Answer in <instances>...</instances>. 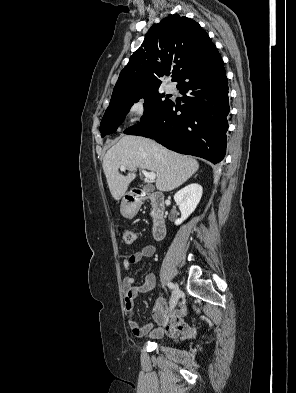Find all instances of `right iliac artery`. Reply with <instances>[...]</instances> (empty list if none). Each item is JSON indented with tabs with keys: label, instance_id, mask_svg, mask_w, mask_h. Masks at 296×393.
<instances>
[{
	"label": "right iliac artery",
	"instance_id": "right-iliac-artery-1",
	"mask_svg": "<svg viewBox=\"0 0 296 393\" xmlns=\"http://www.w3.org/2000/svg\"><path fill=\"white\" fill-rule=\"evenodd\" d=\"M167 285H168V287L170 289H174L175 288V286H174V284L172 282H169Z\"/></svg>",
	"mask_w": 296,
	"mask_h": 393
}]
</instances>
